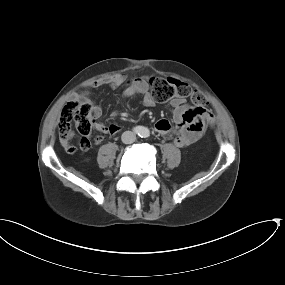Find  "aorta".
<instances>
[{
    "mask_svg": "<svg viewBox=\"0 0 285 285\" xmlns=\"http://www.w3.org/2000/svg\"><path fill=\"white\" fill-rule=\"evenodd\" d=\"M150 135V131L147 127H141L139 130V136L141 137H148Z\"/></svg>",
    "mask_w": 285,
    "mask_h": 285,
    "instance_id": "aorta-1",
    "label": "aorta"
}]
</instances>
